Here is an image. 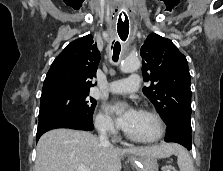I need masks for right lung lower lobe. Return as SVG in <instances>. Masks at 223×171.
<instances>
[{"label": "right lung lower lobe", "mask_w": 223, "mask_h": 171, "mask_svg": "<svg viewBox=\"0 0 223 171\" xmlns=\"http://www.w3.org/2000/svg\"><path fill=\"white\" fill-rule=\"evenodd\" d=\"M57 128H70L91 131L94 129L93 121L87 120L73 113H56L39 120L36 141L45 132Z\"/></svg>", "instance_id": "98d812e1"}]
</instances>
